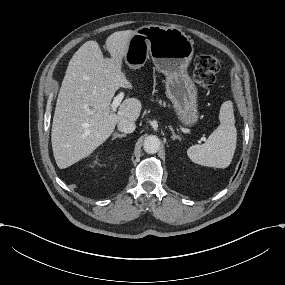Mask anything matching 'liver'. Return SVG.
<instances>
[{"instance_id": "1", "label": "liver", "mask_w": 285, "mask_h": 285, "mask_svg": "<svg viewBox=\"0 0 285 285\" xmlns=\"http://www.w3.org/2000/svg\"><path fill=\"white\" fill-rule=\"evenodd\" d=\"M133 30L117 31L106 39L111 58H104L96 41L85 42L69 61L58 94L51 142L57 166L67 168L103 144L123 119L136 121L142 105L127 98L112 112L110 102L120 87L130 85L121 71Z\"/></svg>"}]
</instances>
